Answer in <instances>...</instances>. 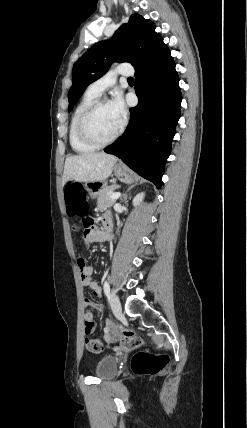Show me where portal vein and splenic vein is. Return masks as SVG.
<instances>
[{
  "mask_svg": "<svg viewBox=\"0 0 247 428\" xmlns=\"http://www.w3.org/2000/svg\"><path fill=\"white\" fill-rule=\"evenodd\" d=\"M120 196H121V193H120V192H115V193H112V194H111L110 199H112V200H116V199H118Z\"/></svg>",
  "mask_w": 247,
  "mask_h": 428,
  "instance_id": "portal-vein-and-splenic-vein-1",
  "label": "portal vein and splenic vein"
}]
</instances>
